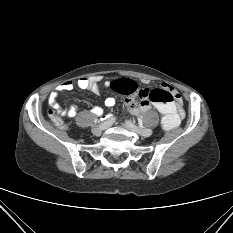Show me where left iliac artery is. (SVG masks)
I'll list each match as a JSON object with an SVG mask.
<instances>
[{"mask_svg": "<svg viewBox=\"0 0 233 233\" xmlns=\"http://www.w3.org/2000/svg\"><path fill=\"white\" fill-rule=\"evenodd\" d=\"M140 132L142 133L143 136H146V137H149L150 135L153 134V131L149 129H142Z\"/></svg>", "mask_w": 233, "mask_h": 233, "instance_id": "1", "label": "left iliac artery"}]
</instances>
